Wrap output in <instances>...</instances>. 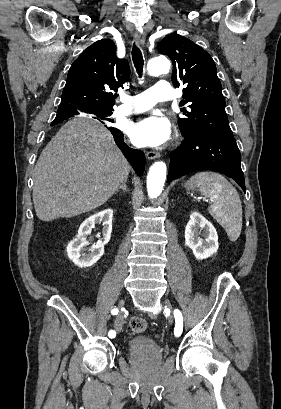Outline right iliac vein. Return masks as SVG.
I'll use <instances>...</instances> for the list:
<instances>
[{"instance_id":"right-iliac-vein-1","label":"right iliac vein","mask_w":281,"mask_h":409,"mask_svg":"<svg viewBox=\"0 0 281 409\" xmlns=\"http://www.w3.org/2000/svg\"><path fill=\"white\" fill-rule=\"evenodd\" d=\"M124 303H125V302H124L123 299L119 300V302H118V308H119L120 310H122V309L124 308ZM122 326H123V312L121 311V312L117 315L116 320H115V330H116L117 333L121 332Z\"/></svg>"}]
</instances>
